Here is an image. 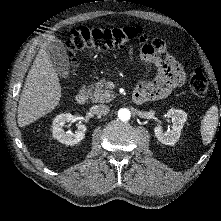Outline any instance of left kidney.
I'll return each mask as SVG.
<instances>
[{"label":"left kidney","instance_id":"obj_1","mask_svg":"<svg viewBox=\"0 0 221 221\" xmlns=\"http://www.w3.org/2000/svg\"><path fill=\"white\" fill-rule=\"evenodd\" d=\"M167 116L172 119V130L163 132L162 126L157 125L154 128L156 138L165 145H174L180 138L181 130L187 120V114L180 109H169Z\"/></svg>","mask_w":221,"mask_h":221}]
</instances>
